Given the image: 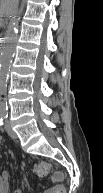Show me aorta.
<instances>
[{"label": "aorta", "mask_w": 103, "mask_h": 193, "mask_svg": "<svg viewBox=\"0 0 103 193\" xmlns=\"http://www.w3.org/2000/svg\"><path fill=\"white\" fill-rule=\"evenodd\" d=\"M24 10H25V0H22L20 8L18 9L17 12V18H15L12 22H10L4 38V44L0 54V86L2 91L6 90L9 67L12 62V58L14 56L16 43L18 39L20 16L23 14ZM1 108L2 111L6 110L5 99H3L2 101Z\"/></svg>", "instance_id": "1"}]
</instances>
